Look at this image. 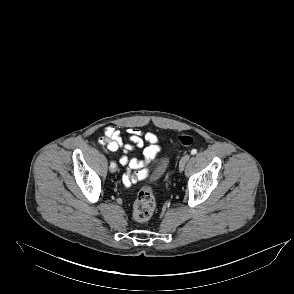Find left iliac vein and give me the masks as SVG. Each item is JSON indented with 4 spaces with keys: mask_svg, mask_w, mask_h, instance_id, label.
<instances>
[{
    "mask_svg": "<svg viewBox=\"0 0 294 294\" xmlns=\"http://www.w3.org/2000/svg\"><path fill=\"white\" fill-rule=\"evenodd\" d=\"M190 159V154H185L180 162H179V171L182 172L185 168L186 163L188 162V160Z\"/></svg>",
    "mask_w": 294,
    "mask_h": 294,
    "instance_id": "left-iliac-vein-1",
    "label": "left iliac vein"
}]
</instances>
